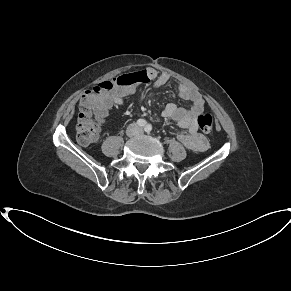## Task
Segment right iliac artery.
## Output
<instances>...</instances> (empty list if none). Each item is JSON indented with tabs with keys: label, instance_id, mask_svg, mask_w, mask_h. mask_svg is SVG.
Listing matches in <instances>:
<instances>
[{
	"label": "right iliac artery",
	"instance_id": "1",
	"mask_svg": "<svg viewBox=\"0 0 291 291\" xmlns=\"http://www.w3.org/2000/svg\"><path fill=\"white\" fill-rule=\"evenodd\" d=\"M137 124L141 127H144L146 125V121L144 119H138Z\"/></svg>",
	"mask_w": 291,
	"mask_h": 291
}]
</instances>
